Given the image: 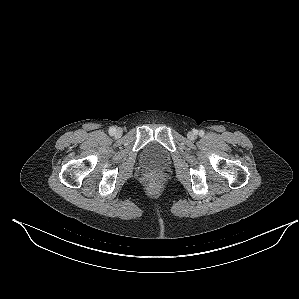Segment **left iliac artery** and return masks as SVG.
<instances>
[{"label":"left iliac artery","mask_w":299,"mask_h":299,"mask_svg":"<svg viewBox=\"0 0 299 299\" xmlns=\"http://www.w3.org/2000/svg\"><path fill=\"white\" fill-rule=\"evenodd\" d=\"M199 134H200V135H203V134H204V132L201 130V131L199 132Z\"/></svg>","instance_id":"left-iliac-artery-1"}]
</instances>
